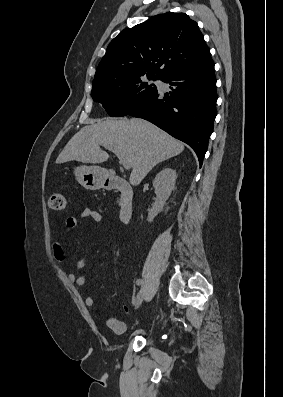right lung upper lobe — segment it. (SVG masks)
<instances>
[{
    "mask_svg": "<svg viewBox=\"0 0 283 397\" xmlns=\"http://www.w3.org/2000/svg\"><path fill=\"white\" fill-rule=\"evenodd\" d=\"M211 59L198 24L168 12L124 29L109 44L93 82L169 74Z\"/></svg>",
    "mask_w": 283,
    "mask_h": 397,
    "instance_id": "cb5924a9",
    "label": "right lung upper lobe"
}]
</instances>
